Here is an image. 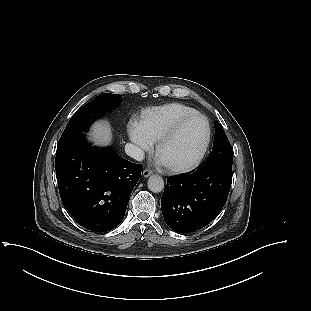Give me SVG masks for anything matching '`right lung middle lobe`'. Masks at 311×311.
I'll return each instance as SVG.
<instances>
[{
  "mask_svg": "<svg viewBox=\"0 0 311 311\" xmlns=\"http://www.w3.org/2000/svg\"><path fill=\"white\" fill-rule=\"evenodd\" d=\"M123 99L119 94H100L92 101L84 105L73 115L67 124L57 149L68 145L71 141L83 136V131H87L93 121L99 118L107 110L117 107Z\"/></svg>",
  "mask_w": 311,
  "mask_h": 311,
  "instance_id": "obj_1",
  "label": "right lung middle lobe"
}]
</instances>
